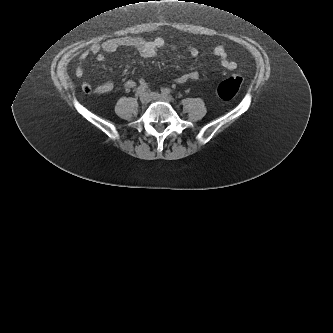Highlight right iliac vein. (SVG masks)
I'll return each instance as SVG.
<instances>
[{"instance_id": "1", "label": "right iliac vein", "mask_w": 333, "mask_h": 333, "mask_svg": "<svg viewBox=\"0 0 333 333\" xmlns=\"http://www.w3.org/2000/svg\"><path fill=\"white\" fill-rule=\"evenodd\" d=\"M151 101V95L149 93H143L141 96H140V102L142 104H147Z\"/></svg>"}]
</instances>
